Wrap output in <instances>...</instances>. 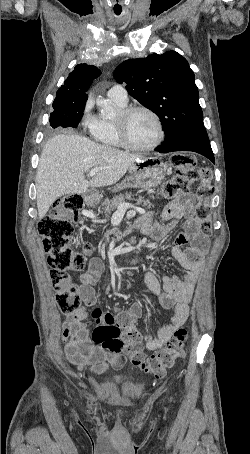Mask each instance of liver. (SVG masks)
Instances as JSON below:
<instances>
[{
    "label": "liver",
    "mask_w": 250,
    "mask_h": 454,
    "mask_svg": "<svg viewBox=\"0 0 250 454\" xmlns=\"http://www.w3.org/2000/svg\"><path fill=\"white\" fill-rule=\"evenodd\" d=\"M142 157L100 145L76 134H60L45 144L36 172L38 216L41 220L54 201L67 194H84L88 188L117 183ZM99 169L88 181L85 173Z\"/></svg>",
    "instance_id": "obj_1"
}]
</instances>
